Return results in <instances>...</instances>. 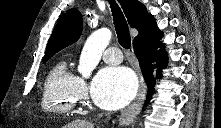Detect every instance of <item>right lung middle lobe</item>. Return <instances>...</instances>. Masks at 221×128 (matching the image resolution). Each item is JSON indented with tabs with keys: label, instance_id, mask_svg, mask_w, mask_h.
<instances>
[{
	"label": "right lung middle lobe",
	"instance_id": "1",
	"mask_svg": "<svg viewBox=\"0 0 221 128\" xmlns=\"http://www.w3.org/2000/svg\"><path fill=\"white\" fill-rule=\"evenodd\" d=\"M53 55L44 56L43 63H45L48 59H50Z\"/></svg>",
	"mask_w": 221,
	"mask_h": 128
}]
</instances>
